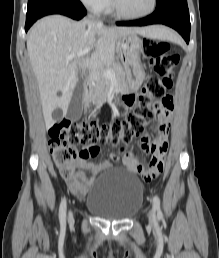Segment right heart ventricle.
<instances>
[{
  "mask_svg": "<svg viewBox=\"0 0 219 258\" xmlns=\"http://www.w3.org/2000/svg\"><path fill=\"white\" fill-rule=\"evenodd\" d=\"M107 10H110L111 9V7H110V3H109V5H108V7L106 8Z\"/></svg>",
  "mask_w": 219,
  "mask_h": 258,
  "instance_id": "e07e8e85",
  "label": "right heart ventricle"
}]
</instances>
